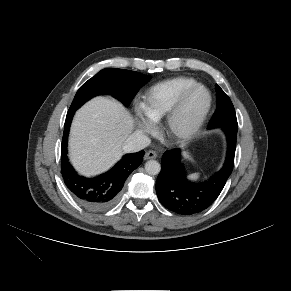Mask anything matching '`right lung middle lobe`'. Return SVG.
<instances>
[{"label":"right lung middle lobe","instance_id":"1","mask_svg":"<svg viewBox=\"0 0 291 291\" xmlns=\"http://www.w3.org/2000/svg\"><path fill=\"white\" fill-rule=\"evenodd\" d=\"M151 76L115 68H106L84 83L77 91L69 111L77 110L86 101L100 94H110L128 106L139 88Z\"/></svg>","mask_w":291,"mask_h":291}]
</instances>
